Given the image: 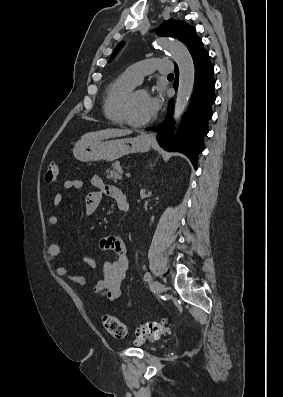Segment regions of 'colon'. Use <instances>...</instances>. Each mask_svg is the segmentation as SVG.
I'll use <instances>...</instances> for the list:
<instances>
[{
  "label": "colon",
  "mask_w": 283,
  "mask_h": 397,
  "mask_svg": "<svg viewBox=\"0 0 283 397\" xmlns=\"http://www.w3.org/2000/svg\"><path fill=\"white\" fill-rule=\"evenodd\" d=\"M59 175V166L51 163L47 166L45 172V181L53 183L57 180ZM103 326L106 331L115 339L124 340L128 337L126 326L112 315H105L102 319ZM169 332V327L166 321L144 322L140 324L135 332L137 339H158Z\"/></svg>",
  "instance_id": "obj_1"
}]
</instances>
